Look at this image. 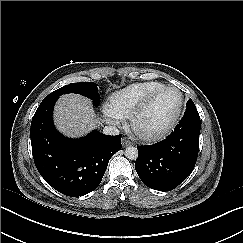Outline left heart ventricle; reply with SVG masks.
<instances>
[{
	"label": "left heart ventricle",
	"mask_w": 243,
	"mask_h": 243,
	"mask_svg": "<svg viewBox=\"0 0 243 243\" xmlns=\"http://www.w3.org/2000/svg\"><path fill=\"white\" fill-rule=\"evenodd\" d=\"M180 103V93L167 90L161 93L137 120V128L147 134L164 129L176 115Z\"/></svg>",
	"instance_id": "obj_1"
}]
</instances>
